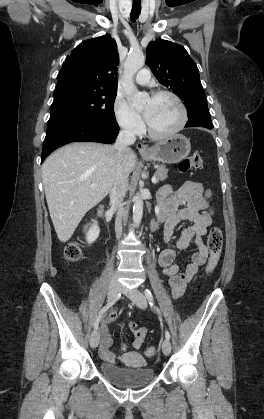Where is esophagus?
I'll return each instance as SVG.
<instances>
[{
	"label": "esophagus",
	"instance_id": "1",
	"mask_svg": "<svg viewBox=\"0 0 264 419\" xmlns=\"http://www.w3.org/2000/svg\"><path fill=\"white\" fill-rule=\"evenodd\" d=\"M137 149H138V152L141 155H145V154H148V153L151 152L150 148L147 145L143 144V143H139L137 145Z\"/></svg>",
	"mask_w": 264,
	"mask_h": 419
}]
</instances>
